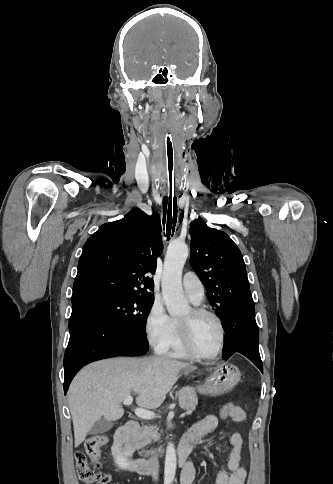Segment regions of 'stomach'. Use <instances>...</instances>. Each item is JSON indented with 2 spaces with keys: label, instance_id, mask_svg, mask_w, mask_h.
<instances>
[{
  "label": "stomach",
  "instance_id": "obj_1",
  "mask_svg": "<svg viewBox=\"0 0 333 484\" xmlns=\"http://www.w3.org/2000/svg\"><path fill=\"white\" fill-rule=\"evenodd\" d=\"M240 377L241 373L237 366L222 362L208 371L204 385L197 389L213 397L221 396L231 391Z\"/></svg>",
  "mask_w": 333,
  "mask_h": 484
}]
</instances>
